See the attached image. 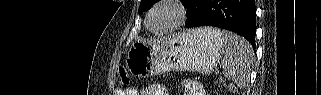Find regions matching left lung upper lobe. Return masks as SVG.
I'll use <instances>...</instances> for the list:
<instances>
[{
    "label": "left lung upper lobe",
    "mask_w": 321,
    "mask_h": 95,
    "mask_svg": "<svg viewBox=\"0 0 321 95\" xmlns=\"http://www.w3.org/2000/svg\"><path fill=\"white\" fill-rule=\"evenodd\" d=\"M159 0H141L140 3V9L142 11H147L153 4H155L156 2H158ZM191 0H182V4L184 5V7H186Z\"/></svg>",
    "instance_id": "left-lung-upper-lobe-1"
}]
</instances>
